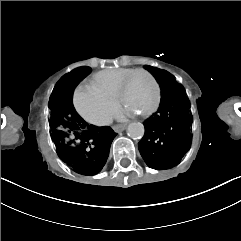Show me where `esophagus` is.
I'll list each match as a JSON object with an SVG mask.
<instances>
[{
    "label": "esophagus",
    "mask_w": 241,
    "mask_h": 241,
    "mask_svg": "<svg viewBox=\"0 0 241 241\" xmlns=\"http://www.w3.org/2000/svg\"><path fill=\"white\" fill-rule=\"evenodd\" d=\"M125 128H126V127L123 126V125H116V126L113 127V130L118 133V132L124 131Z\"/></svg>",
    "instance_id": "obj_1"
}]
</instances>
